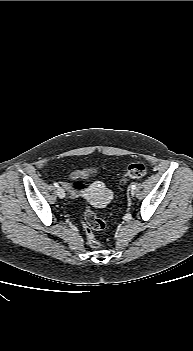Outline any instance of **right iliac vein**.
<instances>
[{
  "instance_id": "63e3f726",
  "label": "right iliac vein",
  "mask_w": 193,
  "mask_h": 351,
  "mask_svg": "<svg viewBox=\"0 0 193 351\" xmlns=\"http://www.w3.org/2000/svg\"><path fill=\"white\" fill-rule=\"evenodd\" d=\"M57 194L60 198H64L65 197V191L62 187H58L57 188Z\"/></svg>"
}]
</instances>
